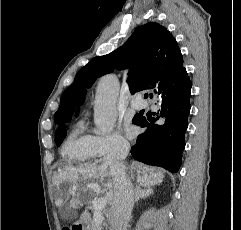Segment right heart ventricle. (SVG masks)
Here are the masks:
<instances>
[{
  "label": "right heart ventricle",
  "mask_w": 241,
  "mask_h": 230,
  "mask_svg": "<svg viewBox=\"0 0 241 230\" xmlns=\"http://www.w3.org/2000/svg\"><path fill=\"white\" fill-rule=\"evenodd\" d=\"M62 154L65 160L71 163L86 162L98 157L92 135L84 131L82 122H79L67 135L62 146Z\"/></svg>",
  "instance_id": "1"
}]
</instances>
